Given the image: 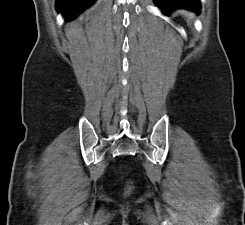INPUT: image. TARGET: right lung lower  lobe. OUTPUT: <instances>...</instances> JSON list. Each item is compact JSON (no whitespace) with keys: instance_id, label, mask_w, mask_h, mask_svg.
Masks as SVG:
<instances>
[{"instance_id":"right-lung-lower-lobe-1","label":"right lung lower lobe","mask_w":245,"mask_h":225,"mask_svg":"<svg viewBox=\"0 0 245 225\" xmlns=\"http://www.w3.org/2000/svg\"><path fill=\"white\" fill-rule=\"evenodd\" d=\"M94 1L95 0H57V10L61 12L66 19L72 20Z\"/></svg>"}]
</instances>
